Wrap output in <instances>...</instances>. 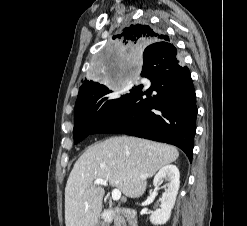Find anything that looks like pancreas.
Returning a JSON list of instances; mask_svg holds the SVG:
<instances>
[{"mask_svg":"<svg viewBox=\"0 0 247 226\" xmlns=\"http://www.w3.org/2000/svg\"><path fill=\"white\" fill-rule=\"evenodd\" d=\"M114 224H115V226H119L118 219H115V220H114Z\"/></svg>","mask_w":247,"mask_h":226,"instance_id":"obj_1","label":"pancreas"}]
</instances>
